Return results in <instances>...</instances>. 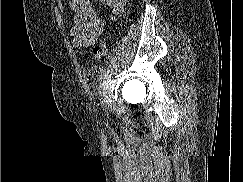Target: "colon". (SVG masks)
I'll return each instance as SVG.
<instances>
[{"label":"colon","mask_w":243,"mask_h":182,"mask_svg":"<svg viewBox=\"0 0 243 182\" xmlns=\"http://www.w3.org/2000/svg\"><path fill=\"white\" fill-rule=\"evenodd\" d=\"M107 53V45L104 41L97 43L92 50L95 61H100Z\"/></svg>","instance_id":"obj_1"}]
</instances>
